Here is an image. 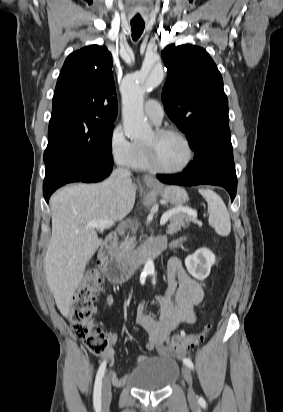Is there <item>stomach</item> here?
<instances>
[{
	"instance_id": "stomach-1",
	"label": "stomach",
	"mask_w": 283,
	"mask_h": 412,
	"mask_svg": "<svg viewBox=\"0 0 283 412\" xmlns=\"http://www.w3.org/2000/svg\"><path fill=\"white\" fill-rule=\"evenodd\" d=\"M161 197L174 206H181L188 201V194L185 189L179 186H167L154 188Z\"/></svg>"
}]
</instances>
